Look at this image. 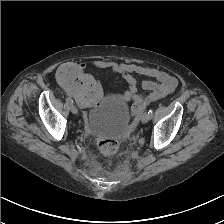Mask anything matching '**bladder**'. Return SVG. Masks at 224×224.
Masks as SVG:
<instances>
[{
	"mask_svg": "<svg viewBox=\"0 0 224 224\" xmlns=\"http://www.w3.org/2000/svg\"><path fill=\"white\" fill-rule=\"evenodd\" d=\"M87 121L95 134L121 137L127 131L128 105L117 96L109 94L89 110Z\"/></svg>",
	"mask_w": 224,
	"mask_h": 224,
	"instance_id": "obj_1",
	"label": "bladder"
}]
</instances>
